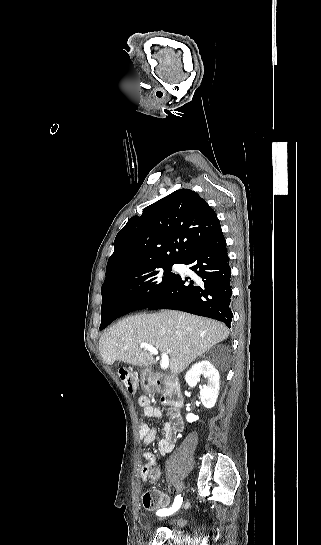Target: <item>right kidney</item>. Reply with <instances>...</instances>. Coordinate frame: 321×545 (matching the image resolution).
Listing matches in <instances>:
<instances>
[{"label":"right kidney","instance_id":"ca27d5eb","mask_svg":"<svg viewBox=\"0 0 321 545\" xmlns=\"http://www.w3.org/2000/svg\"><path fill=\"white\" fill-rule=\"evenodd\" d=\"M200 375H203L208 381L207 387H203L200 391L201 403L206 409H212L217 401L219 393V371L214 370L213 365H211L209 361L195 363L185 375L187 385H189V387H196ZM186 419L188 423H193V421H198L199 417H197V415H192V413H188Z\"/></svg>","mask_w":321,"mask_h":545}]
</instances>
